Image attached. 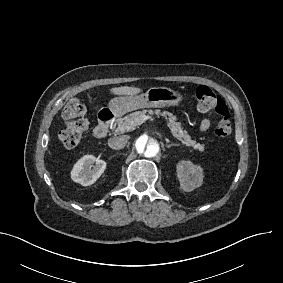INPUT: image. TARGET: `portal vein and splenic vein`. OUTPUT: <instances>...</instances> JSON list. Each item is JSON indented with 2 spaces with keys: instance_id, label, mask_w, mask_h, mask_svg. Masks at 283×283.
<instances>
[{
  "instance_id": "obj_1",
  "label": "portal vein and splenic vein",
  "mask_w": 283,
  "mask_h": 283,
  "mask_svg": "<svg viewBox=\"0 0 283 283\" xmlns=\"http://www.w3.org/2000/svg\"><path fill=\"white\" fill-rule=\"evenodd\" d=\"M149 116H144L143 121L148 120Z\"/></svg>"
}]
</instances>
